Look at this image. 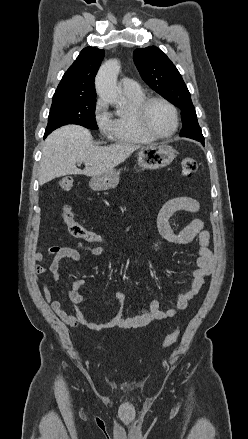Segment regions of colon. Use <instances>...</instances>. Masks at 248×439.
Here are the masks:
<instances>
[{
  "mask_svg": "<svg viewBox=\"0 0 248 439\" xmlns=\"http://www.w3.org/2000/svg\"><path fill=\"white\" fill-rule=\"evenodd\" d=\"M182 173L185 176H190L197 169V163L193 158H184L181 162ZM59 187L63 191H70L73 187V180L70 177H64L59 181ZM62 219L67 226L69 232L76 238H80L87 243L95 246H100L109 242V238L94 230L87 229L83 224L78 222L71 208L65 205L62 208ZM180 335V330L176 329L168 334L162 341V347L167 348L174 344Z\"/></svg>",
  "mask_w": 248,
  "mask_h": 439,
  "instance_id": "colon-1",
  "label": "colon"
}]
</instances>
